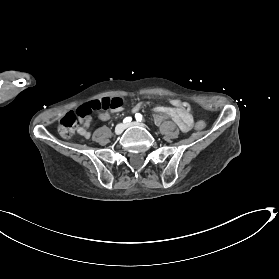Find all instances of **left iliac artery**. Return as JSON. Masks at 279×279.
<instances>
[{"label":"left iliac artery","instance_id":"obj_1","mask_svg":"<svg viewBox=\"0 0 279 279\" xmlns=\"http://www.w3.org/2000/svg\"><path fill=\"white\" fill-rule=\"evenodd\" d=\"M135 118H136L137 121H140V122L143 121V116L140 113H137L135 115Z\"/></svg>","mask_w":279,"mask_h":279}]
</instances>
